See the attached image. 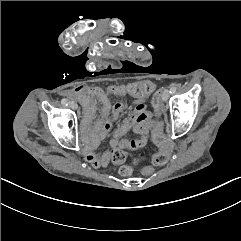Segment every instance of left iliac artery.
<instances>
[{
	"label": "left iliac artery",
	"instance_id": "left-iliac-artery-1",
	"mask_svg": "<svg viewBox=\"0 0 241 241\" xmlns=\"http://www.w3.org/2000/svg\"><path fill=\"white\" fill-rule=\"evenodd\" d=\"M176 91V87L173 85L171 88H170V93H174Z\"/></svg>",
	"mask_w": 241,
	"mask_h": 241
}]
</instances>
